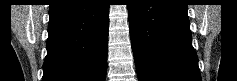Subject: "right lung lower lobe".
<instances>
[{
    "mask_svg": "<svg viewBox=\"0 0 237 81\" xmlns=\"http://www.w3.org/2000/svg\"><path fill=\"white\" fill-rule=\"evenodd\" d=\"M43 81H105L109 5L62 0L50 5Z\"/></svg>",
    "mask_w": 237,
    "mask_h": 81,
    "instance_id": "1",
    "label": "right lung lower lobe"
}]
</instances>
